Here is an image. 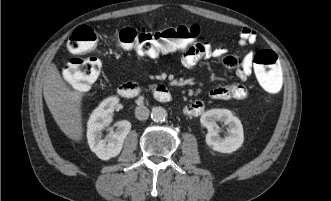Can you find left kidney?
<instances>
[{
    "label": "left kidney",
    "instance_id": "1",
    "mask_svg": "<svg viewBox=\"0 0 331 201\" xmlns=\"http://www.w3.org/2000/svg\"><path fill=\"white\" fill-rule=\"evenodd\" d=\"M227 126L228 135L220 137L217 122ZM201 124L208 129L206 143L214 151L231 153L241 147L244 141L241 121L228 109H210L200 118Z\"/></svg>",
    "mask_w": 331,
    "mask_h": 201
}]
</instances>
